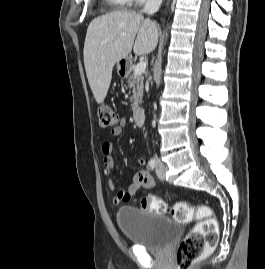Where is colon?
<instances>
[{"label":"colon","instance_id":"colon-1","mask_svg":"<svg viewBox=\"0 0 265 269\" xmlns=\"http://www.w3.org/2000/svg\"><path fill=\"white\" fill-rule=\"evenodd\" d=\"M97 116L103 129H113L118 126V116L109 105H100L97 109ZM141 206L144 210L152 213H164L167 209L164 200L152 195L143 197ZM171 213L174 220L179 223H188L193 219L198 220L177 249L176 269H189L190 265L200 259L208 248L216 244L218 224L209 208L192 206L185 201L177 202Z\"/></svg>","mask_w":265,"mask_h":269}]
</instances>
